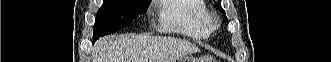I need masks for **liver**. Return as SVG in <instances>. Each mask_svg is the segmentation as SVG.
<instances>
[{
    "mask_svg": "<svg viewBox=\"0 0 331 62\" xmlns=\"http://www.w3.org/2000/svg\"><path fill=\"white\" fill-rule=\"evenodd\" d=\"M197 51L194 44L180 38L120 35L100 39L93 62H175Z\"/></svg>",
    "mask_w": 331,
    "mask_h": 62,
    "instance_id": "6515ba94",
    "label": "liver"
}]
</instances>
